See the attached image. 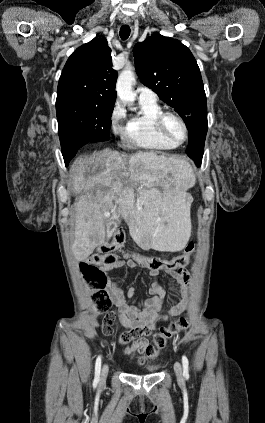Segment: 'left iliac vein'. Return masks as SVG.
Listing matches in <instances>:
<instances>
[{"label": "left iliac vein", "instance_id": "4c4485c4", "mask_svg": "<svg viewBox=\"0 0 265 423\" xmlns=\"http://www.w3.org/2000/svg\"><path fill=\"white\" fill-rule=\"evenodd\" d=\"M174 370H175L176 377H177L178 381H180V382L183 381V370H182V366L179 362H176L174 364Z\"/></svg>", "mask_w": 265, "mask_h": 423}]
</instances>
